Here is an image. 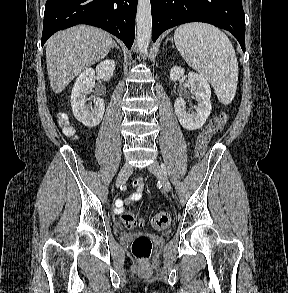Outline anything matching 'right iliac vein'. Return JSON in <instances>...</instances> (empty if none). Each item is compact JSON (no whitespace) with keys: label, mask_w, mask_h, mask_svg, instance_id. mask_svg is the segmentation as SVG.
Masks as SVG:
<instances>
[{"label":"right iliac vein","mask_w":288,"mask_h":293,"mask_svg":"<svg viewBox=\"0 0 288 293\" xmlns=\"http://www.w3.org/2000/svg\"><path fill=\"white\" fill-rule=\"evenodd\" d=\"M131 173H132L131 165L128 163H125L122 166V168L117 176L116 186L119 187L120 185L124 184L127 181V179L129 178V176L131 175Z\"/></svg>","instance_id":"obj_1"}]
</instances>
